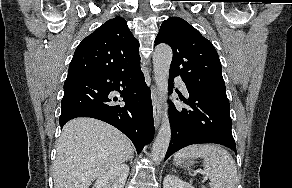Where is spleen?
I'll return each mask as SVG.
<instances>
[{"mask_svg":"<svg viewBox=\"0 0 292 188\" xmlns=\"http://www.w3.org/2000/svg\"><path fill=\"white\" fill-rule=\"evenodd\" d=\"M204 159V171L210 178L211 188H237V168L231 154L216 144H194L174 155V160L189 157Z\"/></svg>","mask_w":292,"mask_h":188,"instance_id":"3e777b00","label":"spleen"}]
</instances>
